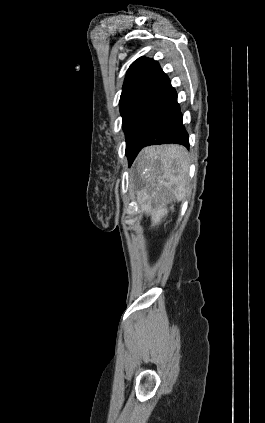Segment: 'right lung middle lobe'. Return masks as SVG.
<instances>
[{
	"instance_id": "dd1d6c3e",
	"label": "right lung middle lobe",
	"mask_w": 265,
	"mask_h": 423,
	"mask_svg": "<svg viewBox=\"0 0 265 423\" xmlns=\"http://www.w3.org/2000/svg\"><path fill=\"white\" fill-rule=\"evenodd\" d=\"M146 99V95H135L123 100H120V112L122 116V126L124 132L129 128L133 117L136 112L139 110L140 106ZM127 155V153H126Z\"/></svg>"
}]
</instances>
